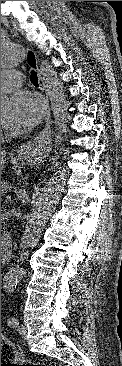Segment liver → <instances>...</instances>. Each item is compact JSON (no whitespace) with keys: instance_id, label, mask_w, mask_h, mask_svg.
I'll use <instances>...</instances> for the list:
<instances>
[{"instance_id":"1","label":"liver","mask_w":122,"mask_h":366,"mask_svg":"<svg viewBox=\"0 0 122 366\" xmlns=\"http://www.w3.org/2000/svg\"><path fill=\"white\" fill-rule=\"evenodd\" d=\"M6 162V152L4 150H1V172L4 168Z\"/></svg>"}]
</instances>
